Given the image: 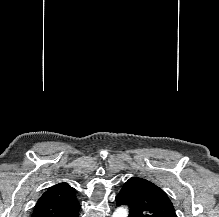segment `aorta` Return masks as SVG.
I'll return each instance as SVG.
<instances>
[{
  "mask_svg": "<svg viewBox=\"0 0 219 217\" xmlns=\"http://www.w3.org/2000/svg\"><path fill=\"white\" fill-rule=\"evenodd\" d=\"M112 217H128V209L126 207H119L113 213Z\"/></svg>",
  "mask_w": 219,
  "mask_h": 217,
  "instance_id": "1",
  "label": "aorta"
}]
</instances>
